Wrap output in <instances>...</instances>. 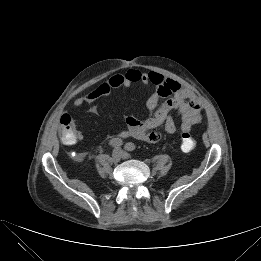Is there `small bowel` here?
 <instances>
[{"mask_svg":"<svg viewBox=\"0 0 261 261\" xmlns=\"http://www.w3.org/2000/svg\"><path fill=\"white\" fill-rule=\"evenodd\" d=\"M137 83L154 85L155 90L146 102L148 110L153 114L143 121L132 116L127 117V128L118 133L119 139L132 137L144 142H157L161 139V133L157 130L160 126H164L168 134L175 133L177 123L175 117L170 115L173 110L180 119V129L183 133L190 132L192 127L201 121L202 103L198 97L180 83L155 71L141 72L129 69L125 73L114 74L96 88L76 98L73 106L76 109L80 108L109 95L114 89L128 88ZM81 139L82 134L76 131V138L71 144Z\"/></svg>","mask_w":261,"mask_h":261,"instance_id":"1","label":"small bowel"}]
</instances>
